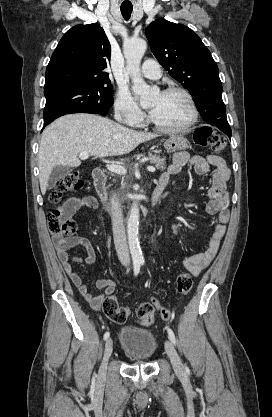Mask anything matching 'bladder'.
<instances>
[{"mask_svg": "<svg viewBox=\"0 0 272 417\" xmlns=\"http://www.w3.org/2000/svg\"><path fill=\"white\" fill-rule=\"evenodd\" d=\"M121 347L133 361L147 362L157 350V342L153 334L136 327H124L120 334Z\"/></svg>", "mask_w": 272, "mask_h": 417, "instance_id": "31cf9c89", "label": "bladder"}]
</instances>
